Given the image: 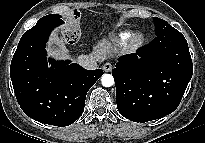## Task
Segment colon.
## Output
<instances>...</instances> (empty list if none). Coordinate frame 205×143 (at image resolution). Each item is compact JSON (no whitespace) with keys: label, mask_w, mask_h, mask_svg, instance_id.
Here are the masks:
<instances>
[{"label":"colon","mask_w":205,"mask_h":143,"mask_svg":"<svg viewBox=\"0 0 205 143\" xmlns=\"http://www.w3.org/2000/svg\"><path fill=\"white\" fill-rule=\"evenodd\" d=\"M77 20L78 15L74 13L70 18V21L61 29L60 38L66 43H72L77 38Z\"/></svg>","instance_id":"5ec220e1"}]
</instances>
